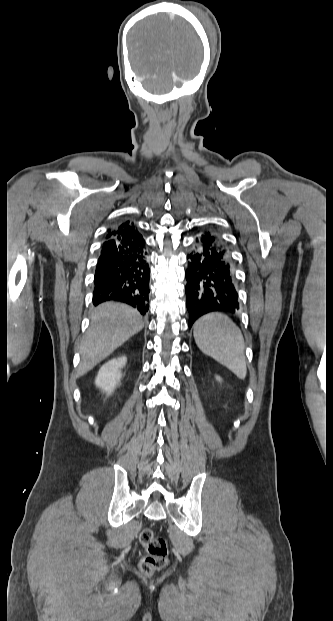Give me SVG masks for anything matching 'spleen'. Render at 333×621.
Segmentation results:
<instances>
[{
	"label": "spleen",
	"instance_id": "obj_1",
	"mask_svg": "<svg viewBox=\"0 0 333 621\" xmlns=\"http://www.w3.org/2000/svg\"><path fill=\"white\" fill-rule=\"evenodd\" d=\"M193 334L204 354L226 366L238 378L246 377L243 335L229 317L217 312L206 314L196 321Z\"/></svg>",
	"mask_w": 333,
	"mask_h": 621
}]
</instances>
